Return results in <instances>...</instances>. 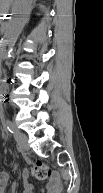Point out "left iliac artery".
Here are the masks:
<instances>
[{"mask_svg": "<svg viewBox=\"0 0 103 193\" xmlns=\"http://www.w3.org/2000/svg\"><path fill=\"white\" fill-rule=\"evenodd\" d=\"M5 125H6V128L8 129V131H10L11 133L15 132L16 128L10 120L7 119L5 121Z\"/></svg>", "mask_w": 103, "mask_h": 193, "instance_id": "44dca946", "label": "left iliac artery"}]
</instances>
